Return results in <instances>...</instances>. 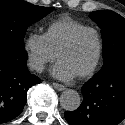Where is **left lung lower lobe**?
I'll return each mask as SVG.
<instances>
[{"label": "left lung lower lobe", "instance_id": "0a47b994", "mask_svg": "<svg viewBox=\"0 0 125 125\" xmlns=\"http://www.w3.org/2000/svg\"><path fill=\"white\" fill-rule=\"evenodd\" d=\"M78 109L65 112L70 125H118L125 118V59L115 60L83 87Z\"/></svg>", "mask_w": 125, "mask_h": 125}]
</instances>
